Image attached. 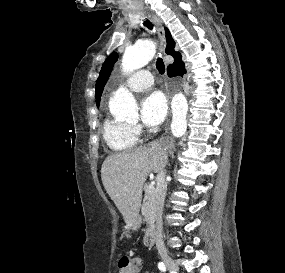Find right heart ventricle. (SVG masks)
I'll list each match as a JSON object with an SVG mask.
<instances>
[{"label":"right heart ventricle","instance_id":"obj_1","mask_svg":"<svg viewBox=\"0 0 285 273\" xmlns=\"http://www.w3.org/2000/svg\"><path fill=\"white\" fill-rule=\"evenodd\" d=\"M102 135L107 146L115 152L132 150L138 142L137 133L131 125L110 117L103 122Z\"/></svg>","mask_w":285,"mask_h":273}]
</instances>
